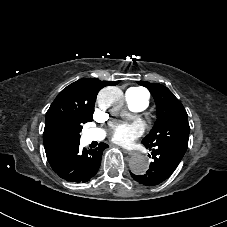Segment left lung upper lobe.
<instances>
[{"label":"left lung upper lobe","instance_id":"obj_1","mask_svg":"<svg viewBox=\"0 0 227 227\" xmlns=\"http://www.w3.org/2000/svg\"><path fill=\"white\" fill-rule=\"evenodd\" d=\"M149 89L157 107V121L150 133L142 140L145 147L166 145L185 154L188 147L190 127L187 112L182 103L165 86L137 81Z\"/></svg>","mask_w":227,"mask_h":227}]
</instances>
